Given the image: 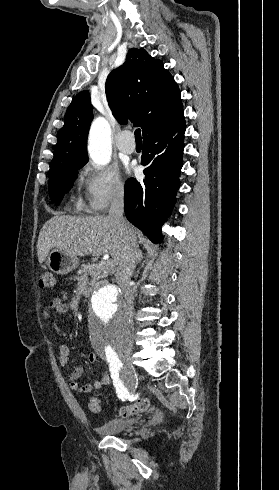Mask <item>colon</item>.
<instances>
[{
  "mask_svg": "<svg viewBox=\"0 0 279 490\" xmlns=\"http://www.w3.org/2000/svg\"><path fill=\"white\" fill-rule=\"evenodd\" d=\"M40 285L43 288L54 289L56 286V275L52 271L46 270L40 277ZM151 405V400L148 397L140 398L136 402L124 405L118 409V415L121 417L136 415L146 411ZM88 410L95 414L102 412V401L99 397H92L88 401Z\"/></svg>",
  "mask_w": 279,
  "mask_h": 490,
  "instance_id": "obj_1",
  "label": "colon"
}]
</instances>
